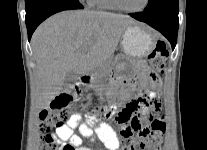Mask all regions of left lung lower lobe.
<instances>
[{
	"label": "left lung lower lobe",
	"instance_id": "obj_1",
	"mask_svg": "<svg viewBox=\"0 0 207 150\" xmlns=\"http://www.w3.org/2000/svg\"><path fill=\"white\" fill-rule=\"evenodd\" d=\"M178 12V0H167L153 10H144L141 13L132 14L131 17L161 32L174 49L179 26Z\"/></svg>",
	"mask_w": 207,
	"mask_h": 150
}]
</instances>
